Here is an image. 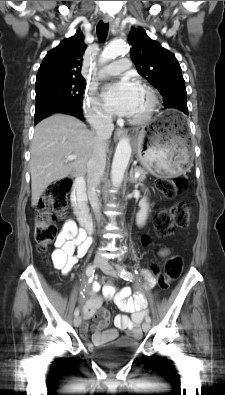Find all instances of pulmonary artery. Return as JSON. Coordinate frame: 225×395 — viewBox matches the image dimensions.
Wrapping results in <instances>:
<instances>
[{"label":"pulmonary artery","instance_id":"obj_1","mask_svg":"<svg viewBox=\"0 0 225 395\" xmlns=\"http://www.w3.org/2000/svg\"><path fill=\"white\" fill-rule=\"evenodd\" d=\"M131 62L128 58H121L112 62L102 69V73L106 76H116L130 68Z\"/></svg>","mask_w":225,"mask_h":395}]
</instances>
